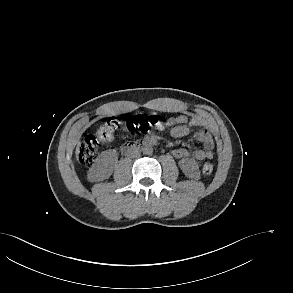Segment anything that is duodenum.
Masks as SVG:
<instances>
[{
    "label": "duodenum",
    "mask_w": 293,
    "mask_h": 293,
    "mask_svg": "<svg viewBox=\"0 0 293 293\" xmlns=\"http://www.w3.org/2000/svg\"><path fill=\"white\" fill-rule=\"evenodd\" d=\"M155 139L153 137H148L144 140H140L137 142H127L121 148V153L123 155H130L136 149L143 148L145 146H151L155 144Z\"/></svg>",
    "instance_id": "1"
}]
</instances>
